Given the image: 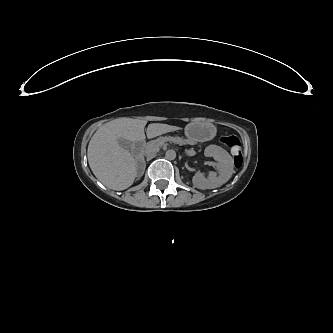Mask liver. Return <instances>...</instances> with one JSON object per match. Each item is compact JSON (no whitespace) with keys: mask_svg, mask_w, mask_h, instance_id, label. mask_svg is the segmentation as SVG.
Segmentation results:
<instances>
[{"mask_svg":"<svg viewBox=\"0 0 333 333\" xmlns=\"http://www.w3.org/2000/svg\"><path fill=\"white\" fill-rule=\"evenodd\" d=\"M148 137H152L149 135ZM144 135L124 140L140 142ZM119 137L113 134L93 137L88 145L89 166L95 177L106 187L124 190L130 187L137 175V163L129 150L120 146Z\"/></svg>","mask_w":333,"mask_h":333,"instance_id":"obj_1","label":"liver"}]
</instances>
